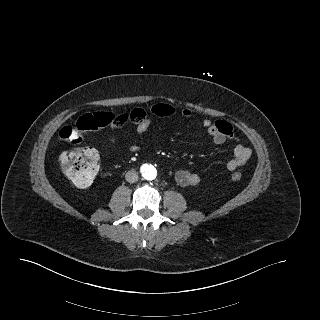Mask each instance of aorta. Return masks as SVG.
Returning a JSON list of instances; mask_svg holds the SVG:
<instances>
[{
	"instance_id": "aorta-1",
	"label": "aorta",
	"mask_w": 320,
	"mask_h": 320,
	"mask_svg": "<svg viewBox=\"0 0 320 320\" xmlns=\"http://www.w3.org/2000/svg\"><path fill=\"white\" fill-rule=\"evenodd\" d=\"M142 175L147 180H153L157 176V170L152 165H145L142 167Z\"/></svg>"
}]
</instances>
